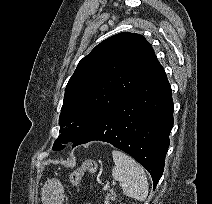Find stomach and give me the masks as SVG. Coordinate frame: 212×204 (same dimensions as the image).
I'll return each mask as SVG.
<instances>
[{
	"instance_id": "obj_1",
	"label": "stomach",
	"mask_w": 212,
	"mask_h": 204,
	"mask_svg": "<svg viewBox=\"0 0 212 204\" xmlns=\"http://www.w3.org/2000/svg\"><path fill=\"white\" fill-rule=\"evenodd\" d=\"M43 204H62L64 189L57 179H48L42 188Z\"/></svg>"
}]
</instances>
